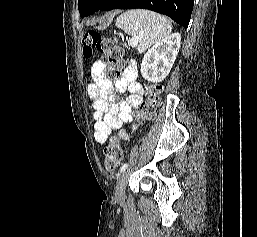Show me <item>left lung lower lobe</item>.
<instances>
[{"instance_id": "1", "label": "left lung lower lobe", "mask_w": 257, "mask_h": 237, "mask_svg": "<svg viewBox=\"0 0 257 237\" xmlns=\"http://www.w3.org/2000/svg\"><path fill=\"white\" fill-rule=\"evenodd\" d=\"M194 0H109L101 11L112 9H149L172 18L175 22L188 27Z\"/></svg>"}]
</instances>
